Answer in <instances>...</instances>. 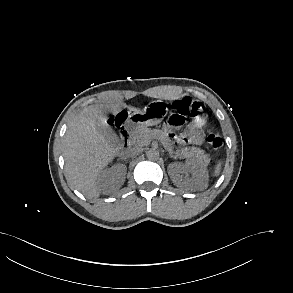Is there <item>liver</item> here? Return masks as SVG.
Segmentation results:
<instances>
[{
    "instance_id": "liver-1",
    "label": "liver",
    "mask_w": 293,
    "mask_h": 293,
    "mask_svg": "<svg viewBox=\"0 0 293 293\" xmlns=\"http://www.w3.org/2000/svg\"><path fill=\"white\" fill-rule=\"evenodd\" d=\"M113 105H90L69 124L63 140L65 176L86 197L99 196L97 179L118 153L116 143L108 141L96 128L97 121L106 123L105 110ZM130 111L137 108L128 106Z\"/></svg>"
}]
</instances>
